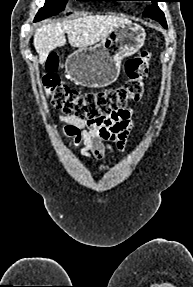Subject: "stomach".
I'll list each match as a JSON object with an SVG mask.
<instances>
[{"mask_svg": "<svg viewBox=\"0 0 193 287\" xmlns=\"http://www.w3.org/2000/svg\"><path fill=\"white\" fill-rule=\"evenodd\" d=\"M145 40L146 32L140 25L132 22L120 25L97 46L73 52L65 64L66 74L84 87L108 86L118 78L121 61L137 53Z\"/></svg>", "mask_w": 193, "mask_h": 287, "instance_id": "stomach-1", "label": "stomach"}]
</instances>
